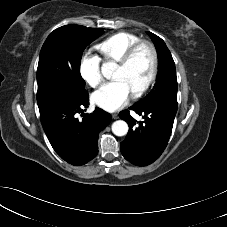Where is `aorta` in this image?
Here are the masks:
<instances>
[{
  "label": "aorta",
  "instance_id": "762f6f07",
  "mask_svg": "<svg viewBox=\"0 0 227 227\" xmlns=\"http://www.w3.org/2000/svg\"><path fill=\"white\" fill-rule=\"evenodd\" d=\"M103 74L106 76L108 74V68L104 67L103 68ZM128 124L123 121V120H118L115 121L112 124V132L116 135V136H124L128 133Z\"/></svg>",
  "mask_w": 227,
  "mask_h": 227
}]
</instances>
